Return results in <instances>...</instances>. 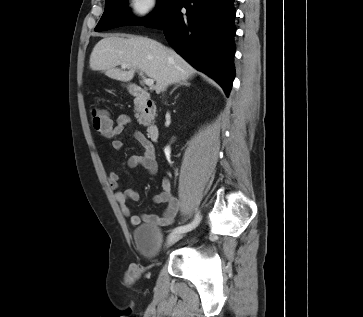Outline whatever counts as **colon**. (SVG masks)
I'll return each instance as SVG.
<instances>
[{"mask_svg": "<svg viewBox=\"0 0 363 317\" xmlns=\"http://www.w3.org/2000/svg\"><path fill=\"white\" fill-rule=\"evenodd\" d=\"M91 121L93 128L99 133L107 131L111 127V121L109 117L103 110L100 109L92 110Z\"/></svg>", "mask_w": 363, "mask_h": 317, "instance_id": "1", "label": "colon"}]
</instances>
